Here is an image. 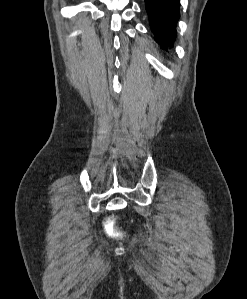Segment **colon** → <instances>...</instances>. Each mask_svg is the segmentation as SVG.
Listing matches in <instances>:
<instances>
[{"mask_svg":"<svg viewBox=\"0 0 247 299\" xmlns=\"http://www.w3.org/2000/svg\"><path fill=\"white\" fill-rule=\"evenodd\" d=\"M107 229H108L109 232L113 233L114 232L113 224L109 223L108 226H107Z\"/></svg>","mask_w":247,"mask_h":299,"instance_id":"obj_1","label":"colon"}]
</instances>
